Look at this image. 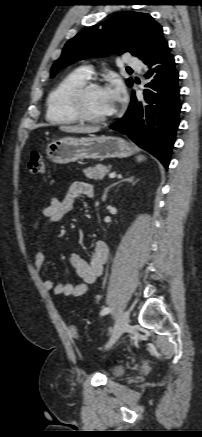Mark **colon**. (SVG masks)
I'll list each match as a JSON object with an SVG mask.
<instances>
[{
	"label": "colon",
	"instance_id": "5ec220e1",
	"mask_svg": "<svg viewBox=\"0 0 202 437\" xmlns=\"http://www.w3.org/2000/svg\"><path fill=\"white\" fill-rule=\"evenodd\" d=\"M28 169L33 174H42L45 170V163L44 159L40 152L33 151L30 155L29 161H28ZM69 333L72 337L78 338L79 332L75 325L71 324L68 328Z\"/></svg>",
	"mask_w": 202,
	"mask_h": 437
}]
</instances>
